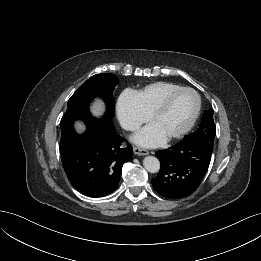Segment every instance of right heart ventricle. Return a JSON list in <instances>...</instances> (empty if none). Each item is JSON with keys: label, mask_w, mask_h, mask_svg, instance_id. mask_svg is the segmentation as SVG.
<instances>
[{"label": "right heart ventricle", "mask_w": 261, "mask_h": 261, "mask_svg": "<svg viewBox=\"0 0 261 261\" xmlns=\"http://www.w3.org/2000/svg\"><path fill=\"white\" fill-rule=\"evenodd\" d=\"M181 87L173 82L157 81L144 86L133 94L142 111L150 116L167 94Z\"/></svg>", "instance_id": "1"}]
</instances>
